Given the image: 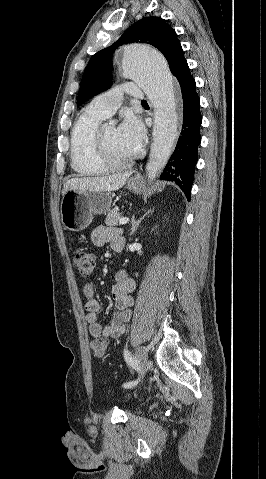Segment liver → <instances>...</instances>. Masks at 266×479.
I'll use <instances>...</instances> for the list:
<instances>
[{
	"instance_id": "6515ba94",
	"label": "liver",
	"mask_w": 266,
	"mask_h": 479,
	"mask_svg": "<svg viewBox=\"0 0 266 479\" xmlns=\"http://www.w3.org/2000/svg\"><path fill=\"white\" fill-rule=\"evenodd\" d=\"M132 172H124L104 177L71 178L64 183L62 194L67 191L111 192L122 188Z\"/></svg>"
}]
</instances>
